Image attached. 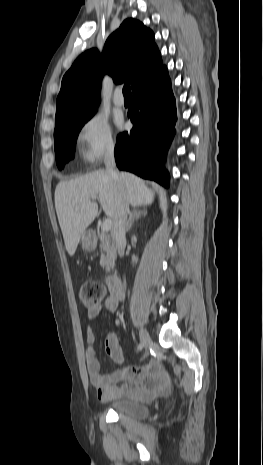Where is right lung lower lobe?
Masks as SVG:
<instances>
[{
	"label": "right lung lower lobe",
	"mask_w": 263,
	"mask_h": 465,
	"mask_svg": "<svg viewBox=\"0 0 263 465\" xmlns=\"http://www.w3.org/2000/svg\"><path fill=\"white\" fill-rule=\"evenodd\" d=\"M132 91L133 105L128 117L133 128L118 135L116 164L119 169L168 186L169 175L164 160L176 132L177 118L167 68L164 66Z\"/></svg>",
	"instance_id": "1"
}]
</instances>
